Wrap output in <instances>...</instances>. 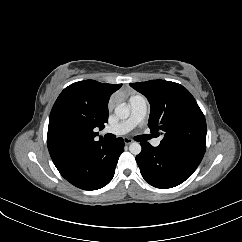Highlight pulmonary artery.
Wrapping results in <instances>:
<instances>
[{
    "label": "pulmonary artery",
    "mask_w": 242,
    "mask_h": 242,
    "mask_svg": "<svg viewBox=\"0 0 242 242\" xmlns=\"http://www.w3.org/2000/svg\"><path fill=\"white\" fill-rule=\"evenodd\" d=\"M129 108L130 117L128 120L105 128L102 131V134H112L116 136L124 135L132 130L135 126L140 124L143 121L147 110V102L145 97L142 95H135L131 97L129 100ZM160 142L161 138H154L151 143L153 146L157 147L159 146Z\"/></svg>",
    "instance_id": "1"
}]
</instances>
